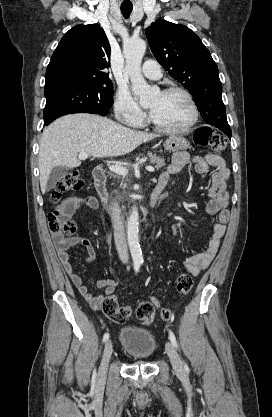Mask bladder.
<instances>
[{
    "label": "bladder",
    "mask_w": 272,
    "mask_h": 417,
    "mask_svg": "<svg viewBox=\"0 0 272 417\" xmlns=\"http://www.w3.org/2000/svg\"><path fill=\"white\" fill-rule=\"evenodd\" d=\"M120 340L126 354L136 361L149 360L157 348L154 336L149 331L136 327H124Z\"/></svg>",
    "instance_id": "1"
}]
</instances>
